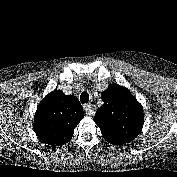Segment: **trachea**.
<instances>
[{"label":"trachea","mask_w":177,"mask_h":177,"mask_svg":"<svg viewBox=\"0 0 177 177\" xmlns=\"http://www.w3.org/2000/svg\"><path fill=\"white\" fill-rule=\"evenodd\" d=\"M80 101L81 103H88L89 101V94L87 92H82L80 95Z\"/></svg>","instance_id":"1"}]
</instances>
